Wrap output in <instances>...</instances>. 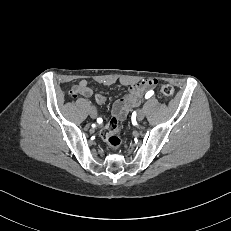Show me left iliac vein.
<instances>
[{
    "instance_id": "left-iliac-vein-1",
    "label": "left iliac vein",
    "mask_w": 231,
    "mask_h": 231,
    "mask_svg": "<svg viewBox=\"0 0 231 231\" xmlns=\"http://www.w3.org/2000/svg\"><path fill=\"white\" fill-rule=\"evenodd\" d=\"M144 117H145V112L143 110H139L137 112V120L142 121L144 119Z\"/></svg>"
}]
</instances>
